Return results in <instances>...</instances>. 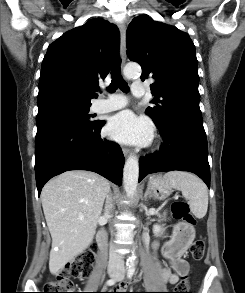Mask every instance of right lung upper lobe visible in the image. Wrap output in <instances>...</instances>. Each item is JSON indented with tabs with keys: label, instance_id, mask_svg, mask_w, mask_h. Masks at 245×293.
Segmentation results:
<instances>
[{
	"label": "right lung upper lobe",
	"instance_id": "cb5924a9",
	"mask_svg": "<svg viewBox=\"0 0 245 293\" xmlns=\"http://www.w3.org/2000/svg\"><path fill=\"white\" fill-rule=\"evenodd\" d=\"M116 25L95 18L64 33L47 50L39 79L38 108L72 103L91 105L99 79L118 55Z\"/></svg>",
	"mask_w": 245,
	"mask_h": 293
}]
</instances>
